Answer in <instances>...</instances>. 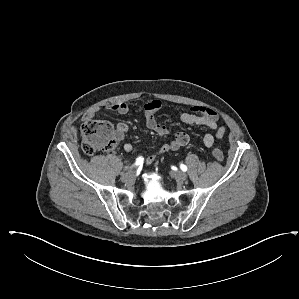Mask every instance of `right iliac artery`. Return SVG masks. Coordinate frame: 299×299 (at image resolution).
Here are the masks:
<instances>
[{"label": "right iliac artery", "instance_id": "1", "mask_svg": "<svg viewBox=\"0 0 299 299\" xmlns=\"http://www.w3.org/2000/svg\"><path fill=\"white\" fill-rule=\"evenodd\" d=\"M143 162H144V158L142 156H140L136 159V162L133 166H142Z\"/></svg>", "mask_w": 299, "mask_h": 299}]
</instances>
